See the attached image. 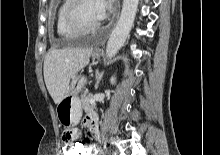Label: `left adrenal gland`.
<instances>
[{"label": "left adrenal gland", "mask_w": 220, "mask_h": 155, "mask_svg": "<svg viewBox=\"0 0 220 155\" xmlns=\"http://www.w3.org/2000/svg\"><path fill=\"white\" fill-rule=\"evenodd\" d=\"M102 76H103V72H99L98 70L96 71V85H95V89H98L99 87V84L101 82V79H102Z\"/></svg>", "instance_id": "a2214340"}]
</instances>
